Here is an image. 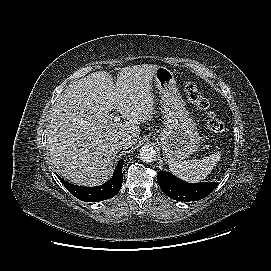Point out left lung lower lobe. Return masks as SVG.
I'll use <instances>...</instances> for the list:
<instances>
[{"label": "left lung lower lobe", "mask_w": 271, "mask_h": 271, "mask_svg": "<svg viewBox=\"0 0 271 271\" xmlns=\"http://www.w3.org/2000/svg\"><path fill=\"white\" fill-rule=\"evenodd\" d=\"M157 181L168 197L184 202L203 199L218 186L215 182L188 183L165 171L158 172Z\"/></svg>", "instance_id": "0a47b994"}]
</instances>
